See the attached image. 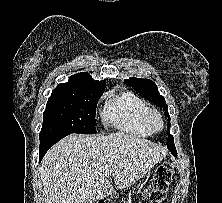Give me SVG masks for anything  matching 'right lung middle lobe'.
I'll list each match as a JSON object with an SVG mask.
<instances>
[{
    "mask_svg": "<svg viewBox=\"0 0 222 203\" xmlns=\"http://www.w3.org/2000/svg\"><path fill=\"white\" fill-rule=\"evenodd\" d=\"M103 91L53 90L43 113L40 139L71 133L95 134V112Z\"/></svg>",
    "mask_w": 222,
    "mask_h": 203,
    "instance_id": "obj_1",
    "label": "right lung middle lobe"
}]
</instances>
